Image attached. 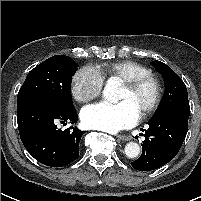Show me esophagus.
<instances>
[{
  "label": "esophagus",
  "instance_id": "1",
  "mask_svg": "<svg viewBox=\"0 0 201 201\" xmlns=\"http://www.w3.org/2000/svg\"><path fill=\"white\" fill-rule=\"evenodd\" d=\"M117 138H118V140H120V141H128V140L131 139L130 136H128V135H123V134L118 135Z\"/></svg>",
  "mask_w": 201,
  "mask_h": 201
}]
</instances>
